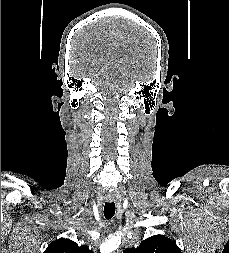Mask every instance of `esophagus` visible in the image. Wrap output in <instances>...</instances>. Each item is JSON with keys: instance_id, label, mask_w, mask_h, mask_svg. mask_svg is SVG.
<instances>
[{"instance_id": "esophagus-1", "label": "esophagus", "mask_w": 229, "mask_h": 253, "mask_svg": "<svg viewBox=\"0 0 229 253\" xmlns=\"http://www.w3.org/2000/svg\"><path fill=\"white\" fill-rule=\"evenodd\" d=\"M106 201L107 202H113V201H115V197L112 196V195H108V196H106Z\"/></svg>"}]
</instances>
